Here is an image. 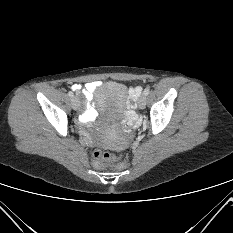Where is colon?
I'll use <instances>...</instances> for the list:
<instances>
[{
  "mask_svg": "<svg viewBox=\"0 0 233 233\" xmlns=\"http://www.w3.org/2000/svg\"><path fill=\"white\" fill-rule=\"evenodd\" d=\"M94 162L97 167H102L104 162H114L120 159V156L114 155L110 152L95 149L93 152Z\"/></svg>",
  "mask_w": 233,
  "mask_h": 233,
  "instance_id": "obj_1",
  "label": "colon"
}]
</instances>
